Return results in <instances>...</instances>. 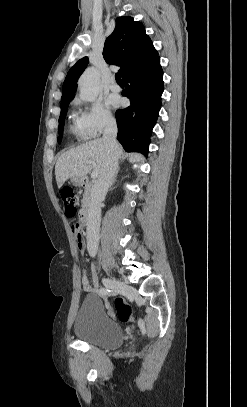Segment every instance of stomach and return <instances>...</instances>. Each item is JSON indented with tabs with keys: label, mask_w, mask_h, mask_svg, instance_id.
I'll return each instance as SVG.
<instances>
[{
	"label": "stomach",
	"mask_w": 247,
	"mask_h": 407,
	"mask_svg": "<svg viewBox=\"0 0 247 407\" xmlns=\"http://www.w3.org/2000/svg\"><path fill=\"white\" fill-rule=\"evenodd\" d=\"M71 182L75 185V186H82L84 183V179L81 177H72L71 178Z\"/></svg>",
	"instance_id": "0dacf381"
}]
</instances>
